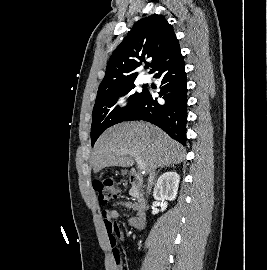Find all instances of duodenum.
Wrapping results in <instances>:
<instances>
[{
    "label": "duodenum",
    "instance_id": "410a0bca",
    "mask_svg": "<svg viewBox=\"0 0 267 270\" xmlns=\"http://www.w3.org/2000/svg\"><path fill=\"white\" fill-rule=\"evenodd\" d=\"M128 178L130 182L137 188L138 196H137V208L143 209L146 204V196L144 192V179L142 176L135 170H130L128 172Z\"/></svg>",
    "mask_w": 267,
    "mask_h": 270
}]
</instances>
